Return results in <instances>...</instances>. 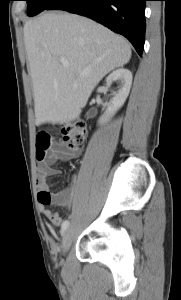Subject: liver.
<instances>
[{
	"label": "liver",
	"mask_w": 181,
	"mask_h": 300,
	"mask_svg": "<svg viewBox=\"0 0 181 300\" xmlns=\"http://www.w3.org/2000/svg\"><path fill=\"white\" fill-rule=\"evenodd\" d=\"M24 42L37 126L77 119L99 81L131 58L126 39L70 13L46 12L27 21ZM61 60L68 62V68Z\"/></svg>",
	"instance_id": "6515ba94"
}]
</instances>
